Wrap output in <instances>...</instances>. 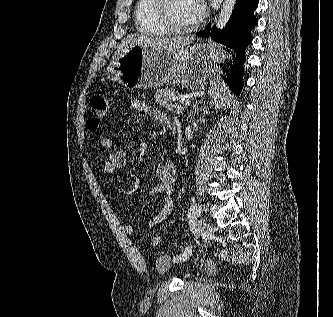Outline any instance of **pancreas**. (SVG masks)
<instances>
[{
  "mask_svg": "<svg viewBox=\"0 0 333 317\" xmlns=\"http://www.w3.org/2000/svg\"><path fill=\"white\" fill-rule=\"evenodd\" d=\"M173 91L171 89H158L154 95L155 102L167 108L169 111H174L177 114H180L184 111L185 106L175 103L173 101Z\"/></svg>",
  "mask_w": 333,
  "mask_h": 317,
  "instance_id": "pancreas-1",
  "label": "pancreas"
}]
</instances>
